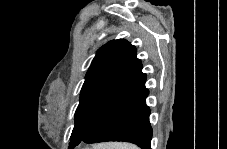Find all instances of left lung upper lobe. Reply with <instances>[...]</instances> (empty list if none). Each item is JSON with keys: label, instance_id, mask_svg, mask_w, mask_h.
Here are the masks:
<instances>
[{"label": "left lung upper lobe", "instance_id": "5c2ea615", "mask_svg": "<svg viewBox=\"0 0 227 149\" xmlns=\"http://www.w3.org/2000/svg\"><path fill=\"white\" fill-rule=\"evenodd\" d=\"M135 46L113 40L102 46L89 67L75 113L70 147L82 143L133 79L141 61Z\"/></svg>", "mask_w": 227, "mask_h": 149}]
</instances>
